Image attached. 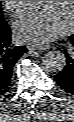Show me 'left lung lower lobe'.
I'll use <instances>...</instances> for the list:
<instances>
[{"instance_id":"left-lung-lower-lobe-1","label":"left lung lower lobe","mask_w":74,"mask_h":122,"mask_svg":"<svg viewBox=\"0 0 74 122\" xmlns=\"http://www.w3.org/2000/svg\"><path fill=\"white\" fill-rule=\"evenodd\" d=\"M70 42L74 46V34L70 36ZM64 53L66 66L55 75V81L64 92L74 94V52L68 53L67 50H65Z\"/></svg>"}]
</instances>
